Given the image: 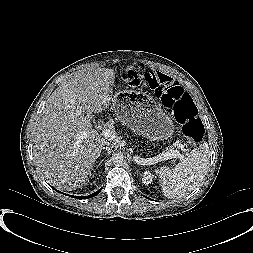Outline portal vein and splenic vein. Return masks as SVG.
<instances>
[{
	"label": "portal vein and splenic vein",
	"mask_w": 253,
	"mask_h": 253,
	"mask_svg": "<svg viewBox=\"0 0 253 253\" xmlns=\"http://www.w3.org/2000/svg\"><path fill=\"white\" fill-rule=\"evenodd\" d=\"M102 135L105 137V139H108V140H115L117 138L116 132L113 129H109V128H104L102 130ZM180 156L181 154L179 153V151L170 149L166 153L160 155L158 158L159 160H168V159H172V158H176Z\"/></svg>",
	"instance_id": "1"
}]
</instances>
